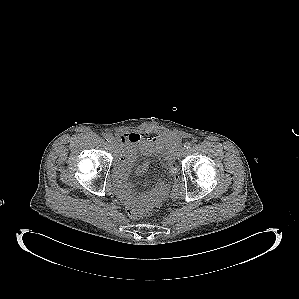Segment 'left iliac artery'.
Returning a JSON list of instances; mask_svg holds the SVG:
<instances>
[{"instance_id":"left-iliac-artery-1","label":"left iliac artery","mask_w":299,"mask_h":299,"mask_svg":"<svg viewBox=\"0 0 299 299\" xmlns=\"http://www.w3.org/2000/svg\"><path fill=\"white\" fill-rule=\"evenodd\" d=\"M191 146H192L191 142H186L185 145H184V147L186 149H189Z\"/></svg>"}]
</instances>
